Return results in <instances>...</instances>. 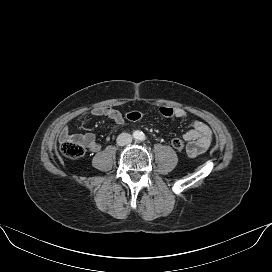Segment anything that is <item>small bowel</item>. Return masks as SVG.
Masks as SVG:
<instances>
[{"label":"small bowel","mask_w":272,"mask_h":272,"mask_svg":"<svg viewBox=\"0 0 272 272\" xmlns=\"http://www.w3.org/2000/svg\"><path fill=\"white\" fill-rule=\"evenodd\" d=\"M175 117L179 119H186L187 112L182 108H175ZM91 116L100 117L105 116L113 120L117 125L124 124V117L119 110L110 107L95 108L90 113ZM213 133L211 128L201 122L194 121L191 128L185 132L183 139L186 142V151L189 156L196 157L204 153L211 145ZM59 139L61 143L72 140L76 141L92 152L96 153L100 150V144L97 142L93 133L86 134H71L70 127L65 125L60 133Z\"/></svg>","instance_id":"1"}]
</instances>
